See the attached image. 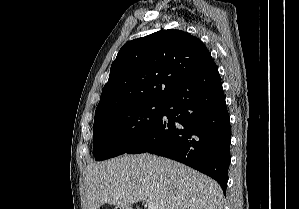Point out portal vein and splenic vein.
I'll use <instances>...</instances> for the list:
<instances>
[{
	"instance_id": "1",
	"label": "portal vein and splenic vein",
	"mask_w": 299,
	"mask_h": 209,
	"mask_svg": "<svg viewBox=\"0 0 299 209\" xmlns=\"http://www.w3.org/2000/svg\"><path fill=\"white\" fill-rule=\"evenodd\" d=\"M148 209H158V205L155 202H148Z\"/></svg>"
}]
</instances>
